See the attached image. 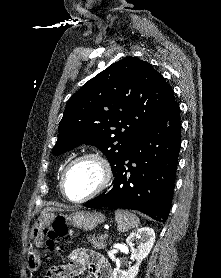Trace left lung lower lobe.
Masks as SVG:
<instances>
[{
  "instance_id": "0a47b994",
  "label": "left lung lower lobe",
  "mask_w": 221,
  "mask_h": 278,
  "mask_svg": "<svg viewBox=\"0 0 221 278\" xmlns=\"http://www.w3.org/2000/svg\"><path fill=\"white\" fill-rule=\"evenodd\" d=\"M180 144L176 101L125 150L112 170L113 187L84 206L133 209L165 222L172 202Z\"/></svg>"
}]
</instances>
